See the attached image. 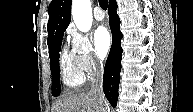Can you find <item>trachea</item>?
I'll return each instance as SVG.
<instances>
[{"instance_id":"obj_1","label":"trachea","mask_w":193,"mask_h":112,"mask_svg":"<svg viewBox=\"0 0 193 112\" xmlns=\"http://www.w3.org/2000/svg\"><path fill=\"white\" fill-rule=\"evenodd\" d=\"M99 5L103 10H107L108 7V0H99Z\"/></svg>"}]
</instances>
